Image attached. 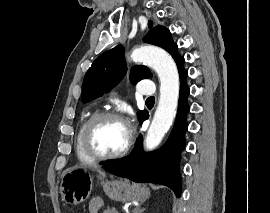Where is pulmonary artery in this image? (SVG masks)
Segmentation results:
<instances>
[{"instance_id":"obj_1","label":"pulmonary artery","mask_w":270,"mask_h":213,"mask_svg":"<svg viewBox=\"0 0 270 213\" xmlns=\"http://www.w3.org/2000/svg\"><path fill=\"white\" fill-rule=\"evenodd\" d=\"M155 90V85L151 81H141L138 83V92L141 95L152 96Z\"/></svg>"}]
</instances>
